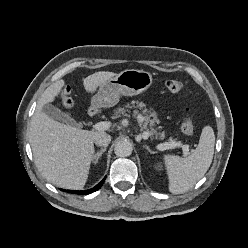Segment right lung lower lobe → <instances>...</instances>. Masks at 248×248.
Segmentation results:
<instances>
[{
    "mask_svg": "<svg viewBox=\"0 0 248 248\" xmlns=\"http://www.w3.org/2000/svg\"><path fill=\"white\" fill-rule=\"evenodd\" d=\"M104 181H105V178L100 183H98L95 187H93L91 190H85V191L62 190V191H67L69 193H75V194H80V195H84V194L87 195V194L97 191L103 185Z\"/></svg>",
    "mask_w": 248,
    "mask_h": 248,
    "instance_id": "1",
    "label": "right lung lower lobe"
}]
</instances>
